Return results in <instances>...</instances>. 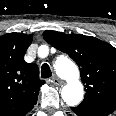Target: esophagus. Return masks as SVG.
I'll list each match as a JSON object with an SVG mask.
<instances>
[{
  "instance_id": "obj_1",
  "label": "esophagus",
  "mask_w": 116,
  "mask_h": 116,
  "mask_svg": "<svg viewBox=\"0 0 116 116\" xmlns=\"http://www.w3.org/2000/svg\"><path fill=\"white\" fill-rule=\"evenodd\" d=\"M51 83H53L56 86H60L62 85V80L59 79L58 77H53L51 78Z\"/></svg>"
}]
</instances>
